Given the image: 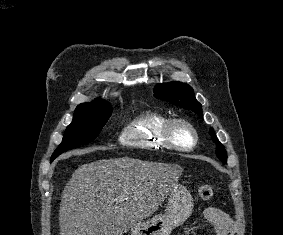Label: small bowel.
Segmentation results:
<instances>
[{"label":"small bowel","mask_w":283,"mask_h":235,"mask_svg":"<svg viewBox=\"0 0 283 235\" xmlns=\"http://www.w3.org/2000/svg\"><path fill=\"white\" fill-rule=\"evenodd\" d=\"M203 217L214 227L216 235H233L235 225L227 214L218 209L208 207L203 210Z\"/></svg>","instance_id":"c3829d8e"}]
</instances>
